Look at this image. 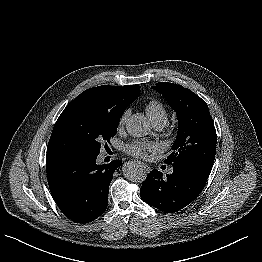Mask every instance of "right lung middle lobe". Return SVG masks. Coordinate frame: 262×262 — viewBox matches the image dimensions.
I'll use <instances>...</instances> for the list:
<instances>
[{
    "instance_id": "dd1d6c3e",
    "label": "right lung middle lobe",
    "mask_w": 262,
    "mask_h": 262,
    "mask_svg": "<svg viewBox=\"0 0 262 262\" xmlns=\"http://www.w3.org/2000/svg\"><path fill=\"white\" fill-rule=\"evenodd\" d=\"M120 118L87 101L71 102L54 125L47 155H98L116 135Z\"/></svg>"
}]
</instances>
